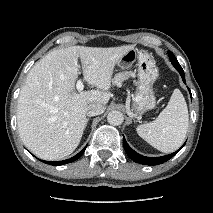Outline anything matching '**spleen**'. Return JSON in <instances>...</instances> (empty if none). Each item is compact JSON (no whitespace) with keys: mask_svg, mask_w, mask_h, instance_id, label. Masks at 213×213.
<instances>
[{"mask_svg":"<svg viewBox=\"0 0 213 213\" xmlns=\"http://www.w3.org/2000/svg\"><path fill=\"white\" fill-rule=\"evenodd\" d=\"M188 120L186 101L181 91L175 89L165 109L154 121L139 125L137 133L157 150L173 152L185 140Z\"/></svg>","mask_w":213,"mask_h":213,"instance_id":"obj_1","label":"spleen"}]
</instances>
